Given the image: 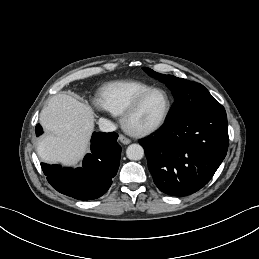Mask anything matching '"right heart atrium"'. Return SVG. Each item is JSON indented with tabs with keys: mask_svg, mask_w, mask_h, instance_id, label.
Returning a JSON list of instances; mask_svg holds the SVG:
<instances>
[{
	"mask_svg": "<svg viewBox=\"0 0 259 259\" xmlns=\"http://www.w3.org/2000/svg\"><path fill=\"white\" fill-rule=\"evenodd\" d=\"M95 107L98 111H101L103 109V106L100 103H95Z\"/></svg>",
	"mask_w": 259,
	"mask_h": 259,
	"instance_id": "obj_1",
	"label": "right heart atrium"
}]
</instances>
